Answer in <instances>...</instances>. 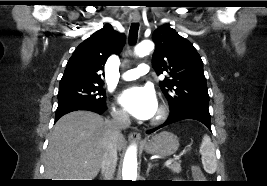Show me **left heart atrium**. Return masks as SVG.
<instances>
[{
  "mask_svg": "<svg viewBox=\"0 0 267 186\" xmlns=\"http://www.w3.org/2000/svg\"><path fill=\"white\" fill-rule=\"evenodd\" d=\"M120 103L130 115L140 120L152 118L158 109L155 92L150 87L132 86L124 90Z\"/></svg>",
  "mask_w": 267,
  "mask_h": 186,
  "instance_id": "left-heart-atrium-1",
  "label": "left heart atrium"
}]
</instances>
